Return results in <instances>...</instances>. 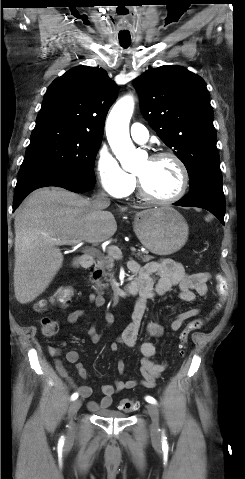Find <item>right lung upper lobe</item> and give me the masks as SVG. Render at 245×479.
<instances>
[{"label":"right lung upper lobe","instance_id":"1","mask_svg":"<svg viewBox=\"0 0 245 479\" xmlns=\"http://www.w3.org/2000/svg\"><path fill=\"white\" fill-rule=\"evenodd\" d=\"M117 86L100 68L77 66L49 86L35 128L59 127L101 138Z\"/></svg>","mask_w":245,"mask_h":479}]
</instances>
